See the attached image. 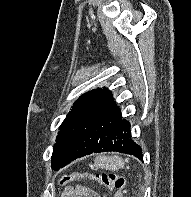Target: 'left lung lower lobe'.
I'll use <instances>...</instances> for the list:
<instances>
[{"label": "left lung lower lobe", "instance_id": "left-lung-lower-lobe-1", "mask_svg": "<svg viewBox=\"0 0 191 197\" xmlns=\"http://www.w3.org/2000/svg\"><path fill=\"white\" fill-rule=\"evenodd\" d=\"M67 138L73 151L55 170L93 152L116 151L143 160L142 149L131 139L130 123L122 119L111 92L79 105L68 126Z\"/></svg>", "mask_w": 191, "mask_h": 197}]
</instances>
